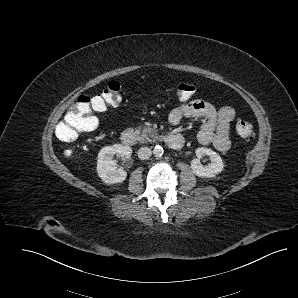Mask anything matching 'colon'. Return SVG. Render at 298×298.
I'll return each mask as SVG.
<instances>
[{"mask_svg": "<svg viewBox=\"0 0 298 298\" xmlns=\"http://www.w3.org/2000/svg\"><path fill=\"white\" fill-rule=\"evenodd\" d=\"M173 93L178 100L185 102L193 97L195 87L184 82L177 83L173 86ZM120 102V84L117 81L108 82L96 96H77L57 126V136L64 141L75 140L79 135L97 126L98 120L94 112H105ZM236 131L245 140L252 139L254 134L252 125L243 120L237 122Z\"/></svg>", "mask_w": 298, "mask_h": 298, "instance_id": "5ec220e1", "label": "colon"}]
</instances>
